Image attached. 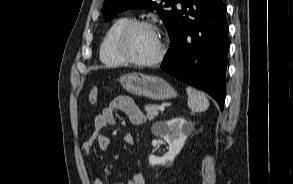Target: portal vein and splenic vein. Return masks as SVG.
<instances>
[{"mask_svg": "<svg viewBox=\"0 0 293 184\" xmlns=\"http://www.w3.org/2000/svg\"><path fill=\"white\" fill-rule=\"evenodd\" d=\"M158 109L160 110V111H164V106H160V107H158Z\"/></svg>", "mask_w": 293, "mask_h": 184, "instance_id": "obj_1", "label": "portal vein and splenic vein"}]
</instances>
